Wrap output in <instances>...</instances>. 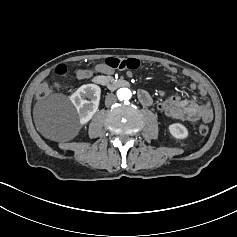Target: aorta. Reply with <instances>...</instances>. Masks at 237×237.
Instances as JSON below:
<instances>
[{
    "mask_svg": "<svg viewBox=\"0 0 237 237\" xmlns=\"http://www.w3.org/2000/svg\"><path fill=\"white\" fill-rule=\"evenodd\" d=\"M117 96L120 100H129L132 96L131 90L128 88H120L117 91Z\"/></svg>",
    "mask_w": 237,
    "mask_h": 237,
    "instance_id": "1",
    "label": "aorta"
}]
</instances>
